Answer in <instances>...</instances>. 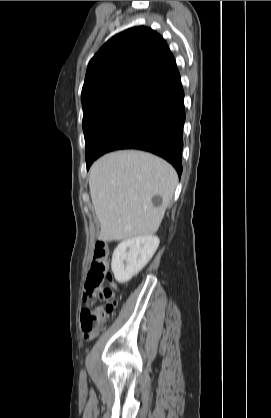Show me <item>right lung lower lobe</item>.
Returning a JSON list of instances; mask_svg holds the SVG:
<instances>
[{
	"instance_id": "right-lung-lower-lobe-1",
	"label": "right lung lower lobe",
	"mask_w": 271,
	"mask_h": 418,
	"mask_svg": "<svg viewBox=\"0 0 271 418\" xmlns=\"http://www.w3.org/2000/svg\"><path fill=\"white\" fill-rule=\"evenodd\" d=\"M184 121V91L180 82L117 130L99 157L118 149H140L166 159L180 176Z\"/></svg>"
}]
</instances>
